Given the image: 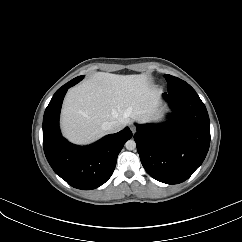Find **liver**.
<instances>
[{
  "mask_svg": "<svg viewBox=\"0 0 242 242\" xmlns=\"http://www.w3.org/2000/svg\"><path fill=\"white\" fill-rule=\"evenodd\" d=\"M159 96L144 74L95 73L68 91L61 113L62 131L76 144L91 143L108 133L104 129L107 122L118 121L124 127L131 119L156 118Z\"/></svg>",
  "mask_w": 242,
  "mask_h": 242,
  "instance_id": "1",
  "label": "liver"
}]
</instances>
